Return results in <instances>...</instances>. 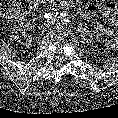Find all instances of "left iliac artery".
I'll return each mask as SVG.
<instances>
[{"label":"left iliac artery","mask_w":118,"mask_h":118,"mask_svg":"<svg viewBox=\"0 0 118 118\" xmlns=\"http://www.w3.org/2000/svg\"><path fill=\"white\" fill-rule=\"evenodd\" d=\"M59 18L61 19V21H63V22H71L70 21V16L67 14V13H61L60 14V16H59Z\"/></svg>","instance_id":"obj_1"}]
</instances>
